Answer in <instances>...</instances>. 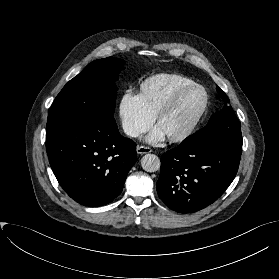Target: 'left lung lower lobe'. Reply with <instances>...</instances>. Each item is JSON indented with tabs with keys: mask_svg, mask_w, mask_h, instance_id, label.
Wrapping results in <instances>:
<instances>
[{
	"mask_svg": "<svg viewBox=\"0 0 279 279\" xmlns=\"http://www.w3.org/2000/svg\"><path fill=\"white\" fill-rule=\"evenodd\" d=\"M241 148L222 143L180 144L161 156L159 198L180 213L215 202L235 178Z\"/></svg>",
	"mask_w": 279,
	"mask_h": 279,
	"instance_id": "obj_1",
	"label": "left lung lower lobe"
}]
</instances>
